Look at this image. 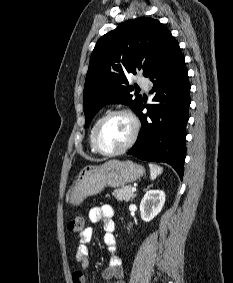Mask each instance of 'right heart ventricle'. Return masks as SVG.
<instances>
[{
	"label": "right heart ventricle",
	"mask_w": 233,
	"mask_h": 283,
	"mask_svg": "<svg viewBox=\"0 0 233 283\" xmlns=\"http://www.w3.org/2000/svg\"><path fill=\"white\" fill-rule=\"evenodd\" d=\"M102 117H103V115H100V116H98V117L94 120V122H93V124H92V126H91V129H90V133H89V144H90L91 152H92L93 154H97V151L95 150V148H94V146H93V133H94V130H95V128H96L98 122L101 120Z\"/></svg>",
	"instance_id": "right-heart-ventricle-1"
}]
</instances>
